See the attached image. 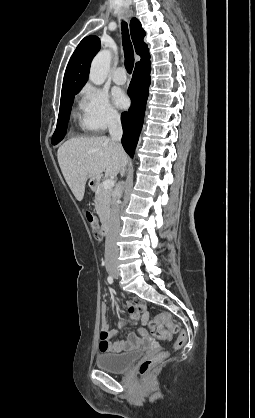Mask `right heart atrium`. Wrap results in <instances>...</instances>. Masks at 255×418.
I'll return each instance as SVG.
<instances>
[{"label":"right heart atrium","mask_w":255,"mask_h":418,"mask_svg":"<svg viewBox=\"0 0 255 418\" xmlns=\"http://www.w3.org/2000/svg\"><path fill=\"white\" fill-rule=\"evenodd\" d=\"M80 125L84 130L99 132L119 121L120 115L110 102L108 94L91 84L80 93Z\"/></svg>","instance_id":"right-heart-atrium-1"}]
</instances>
